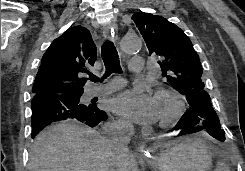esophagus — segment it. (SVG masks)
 Masks as SVG:
<instances>
[{
	"mask_svg": "<svg viewBox=\"0 0 245 171\" xmlns=\"http://www.w3.org/2000/svg\"><path fill=\"white\" fill-rule=\"evenodd\" d=\"M102 32H103V36L105 39L111 40L113 36L112 35V31L110 30L109 25H104L102 27ZM139 151L141 152L142 156H144L145 158H149L150 157V153L149 151L146 150L145 145L144 144H140L139 145Z\"/></svg>",
	"mask_w": 245,
	"mask_h": 171,
	"instance_id": "esophagus-1",
	"label": "esophagus"
}]
</instances>
